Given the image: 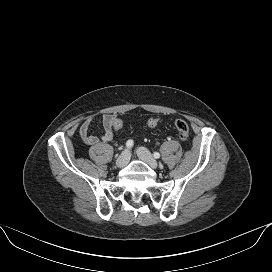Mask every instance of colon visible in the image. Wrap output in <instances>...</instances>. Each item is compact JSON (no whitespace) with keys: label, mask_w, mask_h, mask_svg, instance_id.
<instances>
[{"label":"colon","mask_w":272,"mask_h":272,"mask_svg":"<svg viewBox=\"0 0 272 272\" xmlns=\"http://www.w3.org/2000/svg\"><path fill=\"white\" fill-rule=\"evenodd\" d=\"M160 122V118L158 116H152L148 120V126L150 128H155ZM123 126V120L116 117L113 122V128L114 130H119ZM174 127L177 130L178 137L181 140H187L190 134L189 126L187 122L183 119H176L174 121Z\"/></svg>","instance_id":"5ec220e1"}]
</instances>
